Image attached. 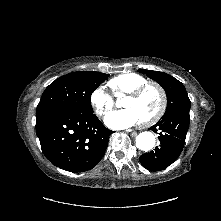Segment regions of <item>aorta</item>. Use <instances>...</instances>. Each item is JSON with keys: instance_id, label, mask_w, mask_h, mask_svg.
I'll list each match as a JSON object with an SVG mask.
<instances>
[{"instance_id": "762f6f07", "label": "aorta", "mask_w": 221, "mask_h": 221, "mask_svg": "<svg viewBox=\"0 0 221 221\" xmlns=\"http://www.w3.org/2000/svg\"><path fill=\"white\" fill-rule=\"evenodd\" d=\"M155 136L151 132H142L136 137V147L142 151H149L155 146Z\"/></svg>"}]
</instances>
